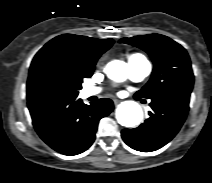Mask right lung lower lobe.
I'll return each mask as SVG.
<instances>
[{"instance_id":"right-lung-lower-lobe-1","label":"right lung lower lobe","mask_w":212,"mask_h":183,"mask_svg":"<svg viewBox=\"0 0 212 183\" xmlns=\"http://www.w3.org/2000/svg\"><path fill=\"white\" fill-rule=\"evenodd\" d=\"M35 130L51 148L64 155H77L95 140L98 122L113 110L102 98L90 106L76 97L44 96L28 101Z\"/></svg>"}]
</instances>
